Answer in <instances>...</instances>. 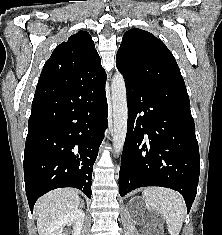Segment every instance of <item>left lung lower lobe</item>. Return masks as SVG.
Instances as JSON below:
<instances>
[{"label": "left lung lower lobe", "instance_id": "1", "mask_svg": "<svg viewBox=\"0 0 222 235\" xmlns=\"http://www.w3.org/2000/svg\"><path fill=\"white\" fill-rule=\"evenodd\" d=\"M128 129L121 157V196L146 186L179 191L189 212L200 173L190 105L125 79Z\"/></svg>", "mask_w": 222, "mask_h": 235}]
</instances>
